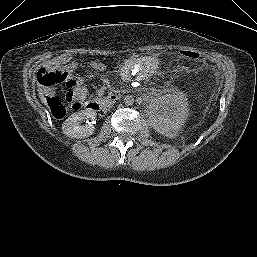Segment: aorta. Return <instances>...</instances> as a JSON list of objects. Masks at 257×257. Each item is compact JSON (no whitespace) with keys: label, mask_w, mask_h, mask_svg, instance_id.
<instances>
[{"label":"aorta","mask_w":257,"mask_h":257,"mask_svg":"<svg viewBox=\"0 0 257 257\" xmlns=\"http://www.w3.org/2000/svg\"><path fill=\"white\" fill-rule=\"evenodd\" d=\"M124 102H125V105H127V106L133 105V103H134V97L131 96V95L125 96V97H124Z\"/></svg>","instance_id":"762f6f07"}]
</instances>
